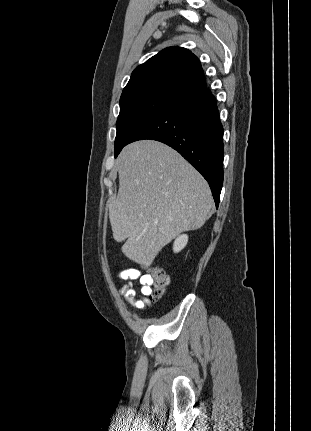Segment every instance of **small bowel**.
<instances>
[{
  "label": "small bowel",
  "mask_w": 311,
  "mask_h": 431,
  "mask_svg": "<svg viewBox=\"0 0 311 431\" xmlns=\"http://www.w3.org/2000/svg\"><path fill=\"white\" fill-rule=\"evenodd\" d=\"M116 277L121 281H129L119 289V292L134 311L143 310L149 305L148 297L151 293L149 275L143 274L137 269H125L119 271ZM137 280L141 285L139 289L135 283Z\"/></svg>",
  "instance_id": "1"
}]
</instances>
